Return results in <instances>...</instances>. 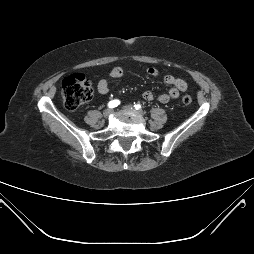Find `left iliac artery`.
<instances>
[{"mask_svg": "<svg viewBox=\"0 0 254 254\" xmlns=\"http://www.w3.org/2000/svg\"><path fill=\"white\" fill-rule=\"evenodd\" d=\"M134 107H135V109H137V110H140V109L142 108L140 104H135Z\"/></svg>", "mask_w": 254, "mask_h": 254, "instance_id": "44dca946", "label": "left iliac artery"}]
</instances>
